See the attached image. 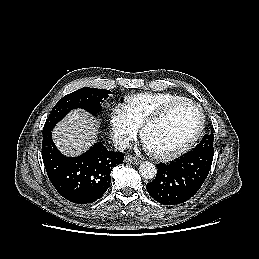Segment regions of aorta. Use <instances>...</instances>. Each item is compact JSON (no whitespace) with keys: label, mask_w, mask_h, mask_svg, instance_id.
I'll return each mask as SVG.
<instances>
[{"label":"aorta","mask_w":259,"mask_h":259,"mask_svg":"<svg viewBox=\"0 0 259 259\" xmlns=\"http://www.w3.org/2000/svg\"><path fill=\"white\" fill-rule=\"evenodd\" d=\"M140 175L145 179H152L156 176L157 169L152 162H143L139 167Z\"/></svg>","instance_id":"aorta-1"}]
</instances>
